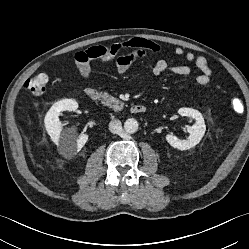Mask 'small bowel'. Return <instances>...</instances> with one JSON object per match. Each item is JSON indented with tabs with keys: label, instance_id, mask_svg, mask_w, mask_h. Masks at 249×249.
Returning <instances> with one entry per match:
<instances>
[{
	"label": "small bowel",
	"instance_id": "c3829d8e",
	"mask_svg": "<svg viewBox=\"0 0 249 249\" xmlns=\"http://www.w3.org/2000/svg\"><path fill=\"white\" fill-rule=\"evenodd\" d=\"M121 47V53L116 58V69L118 73H125L133 65L134 61L143 57L147 53H158L161 47L153 41L146 39H132L127 42L117 44ZM104 47H93L75 55V63L79 74L88 78L91 75V58L90 55L93 51L101 52ZM175 54L184 56L185 60L189 63H194L195 67L200 71L195 78V81L200 86H206L211 79L212 70L204 56H196L192 52H185L183 48H175ZM193 68L189 65H175L170 66L167 61L159 60L151 68L150 74L154 77L160 76L164 73H171L179 76H189L193 73Z\"/></svg>",
	"mask_w": 249,
	"mask_h": 249
}]
</instances>
